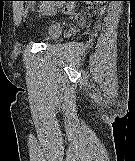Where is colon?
<instances>
[{
	"label": "colon",
	"mask_w": 135,
	"mask_h": 161,
	"mask_svg": "<svg viewBox=\"0 0 135 161\" xmlns=\"http://www.w3.org/2000/svg\"><path fill=\"white\" fill-rule=\"evenodd\" d=\"M50 1L60 2L63 0H50ZM58 5L59 4H55L54 6H58ZM62 10L65 14H72L74 10V5L72 3H67L66 5L63 6Z\"/></svg>",
	"instance_id": "5ec220e1"
}]
</instances>
